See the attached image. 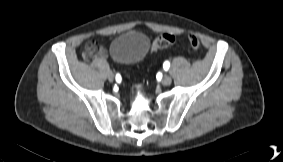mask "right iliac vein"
Here are the masks:
<instances>
[{
    "instance_id": "63e3f726",
    "label": "right iliac vein",
    "mask_w": 283,
    "mask_h": 162,
    "mask_svg": "<svg viewBox=\"0 0 283 162\" xmlns=\"http://www.w3.org/2000/svg\"><path fill=\"white\" fill-rule=\"evenodd\" d=\"M107 77H108V80H109L110 82H112V81L114 80V75H113L112 72H109Z\"/></svg>"
}]
</instances>
